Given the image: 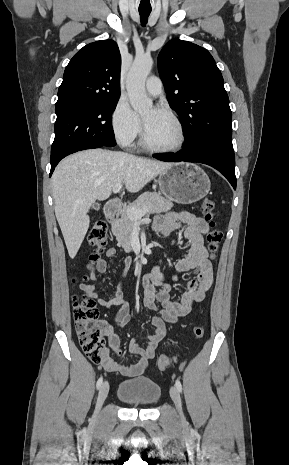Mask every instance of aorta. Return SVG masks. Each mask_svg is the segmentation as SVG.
I'll return each mask as SVG.
<instances>
[{"label": "aorta", "mask_w": 289, "mask_h": 465, "mask_svg": "<svg viewBox=\"0 0 289 465\" xmlns=\"http://www.w3.org/2000/svg\"><path fill=\"white\" fill-rule=\"evenodd\" d=\"M153 66L150 56L136 57L126 79V89L131 106L136 112H144L152 107V100L147 97L145 81Z\"/></svg>", "instance_id": "aorta-1"}]
</instances>
